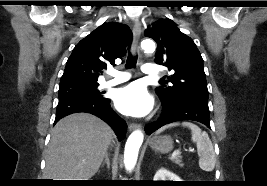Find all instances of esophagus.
I'll return each instance as SVG.
<instances>
[{"instance_id":"obj_1","label":"esophagus","mask_w":267,"mask_h":186,"mask_svg":"<svg viewBox=\"0 0 267 186\" xmlns=\"http://www.w3.org/2000/svg\"><path fill=\"white\" fill-rule=\"evenodd\" d=\"M141 35V24L139 21H136L133 26V43H132V52L133 54L139 55V39ZM141 125L137 123H130L128 125L129 131L140 129Z\"/></svg>"}]
</instances>
